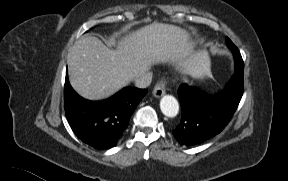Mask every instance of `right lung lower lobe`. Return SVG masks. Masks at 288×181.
<instances>
[{"label": "right lung lower lobe", "mask_w": 288, "mask_h": 181, "mask_svg": "<svg viewBox=\"0 0 288 181\" xmlns=\"http://www.w3.org/2000/svg\"><path fill=\"white\" fill-rule=\"evenodd\" d=\"M146 94V89L127 87L112 98L93 102L73 90L66 74L65 114L79 139L95 149L106 150L122 137L132 113Z\"/></svg>", "instance_id": "right-lung-lower-lobe-1"}]
</instances>
